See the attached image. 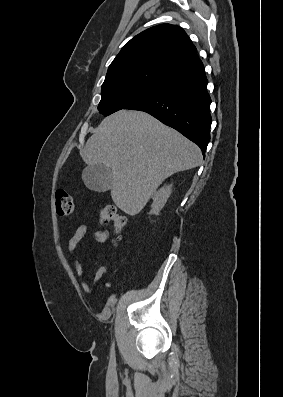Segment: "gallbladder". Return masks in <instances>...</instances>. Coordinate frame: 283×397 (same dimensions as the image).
<instances>
[{"label":"gallbladder","instance_id":"bac80fb5","mask_svg":"<svg viewBox=\"0 0 283 397\" xmlns=\"http://www.w3.org/2000/svg\"><path fill=\"white\" fill-rule=\"evenodd\" d=\"M112 170L103 164L87 166L82 172L85 186L95 192H105L112 185Z\"/></svg>","mask_w":283,"mask_h":397}]
</instances>
